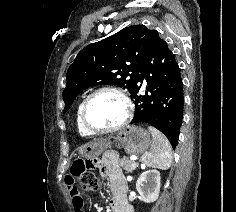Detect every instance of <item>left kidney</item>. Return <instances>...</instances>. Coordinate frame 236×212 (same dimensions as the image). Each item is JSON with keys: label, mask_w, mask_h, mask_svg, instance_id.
Returning a JSON list of instances; mask_svg holds the SVG:
<instances>
[{"label": "left kidney", "mask_w": 236, "mask_h": 212, "mask_svg": "<svg viewBox=\"0 0 236 212\" xmlns=\"http://www.w3.org/2000/svg\"><path fill=\"white\" fill-rule=\"evenodd\" d=\"M160 173L157 170L143 172L136 182V189L142 201L154 202L160 193Z\"/></svg>", "instance_id": "1"}]
</instances>
